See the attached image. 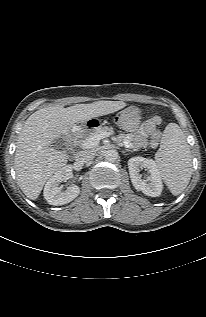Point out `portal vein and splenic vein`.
Here are the masks:
<instances>
[{"instance_id": "obj_1", "label": "portal vein and splenic vein", "mask_w": 206, "mask_h": 317, "mask_svg": "<svg viewBox=\"0 0 206 317\" xmlns=\"http://www.w3.org/2000/svg\"><path fill=\"white\" fill-rule=\"evenodd\" d=\"M109 136H110V133H108V132H102L99 134H95V135L91 136L89 139H87L82 144V147L85 149H90L92 147H95L98 145V143L101 139H104V138L109 137Z\"/></svg>"}]
</instances>
